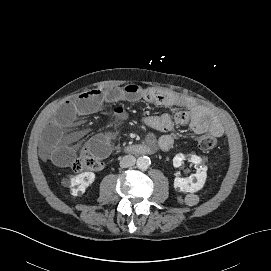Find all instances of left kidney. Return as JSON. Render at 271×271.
Here are the masks:
<instances>
[{"mask_svg": "<svg viewBox=\"0 0 271 271\" xmlns=\"http://www.w3.org/2000/svg\"><path fill=\"white\" fill-rule=\"evenodd\" d=\"M184 154H178L173 158L174 167L181 166L183 160H185ZM189 161L195 165H200L196 173L192 174L187 178L176 177L174 179V188L178 189L180 192H190L194 193L203 188L206 178H207V167L202 166V159L197 155H190Z\"/></svg>", "mask_w": 271, "mask_h": 271, "instance_id": "5707ae66", "label": "left kidney"}]
</instances>
